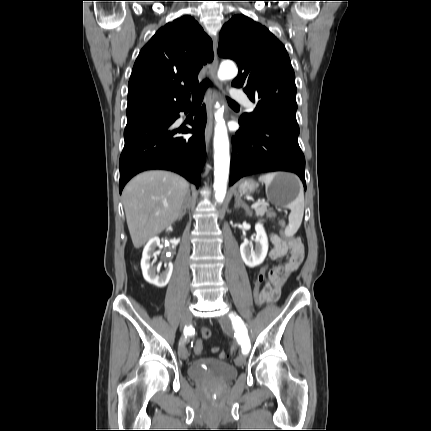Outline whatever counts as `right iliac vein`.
<instances>
[{"instance_id":"1","label":"right iliac vein","mask_w":431,"mask_h":431,"mask_svg":"<svg viewBox=\"0 0 431 431\" xmlns=\"http://www.w3.org/2000/svg\"><path fill=\"white\" fill-rule=\"evenodd\" d=\"M192 315L189 309H186L181 317V329H184L185 327H187L191 321ZM179 356L181 359L186 360L189 356V353L186 349V347L182 344L179 348Z\"/></svg>"}]
</instances>
